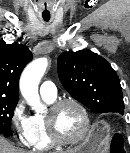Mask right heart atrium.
Segmentation results:
<instances>
[{
  "instance_id": "d8ad5b80",
  "label": "right heart atrium",
  "mask_w": 130,
  "mask_h": 153,
  "mask_svg": "<svg viewBox=\"0 0 130 153\" xmlns=\"http://www.w3.org/2000/svg\"><path fill=\"white\" fill-rule=\"evenodd\" d=\"M25 85L28 86V82H25ZM11 126L18 142L29 146L31 144L30 117L26 114L25 105L22 101H19L12 110Z\"/></svg>"
}]
</instances>
